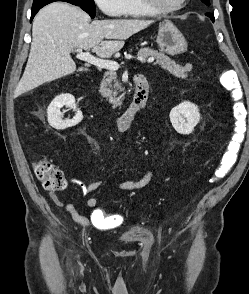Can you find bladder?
I'll return each mask as SVG.
<instances>
[{
    "instance_id": "31cf9c89",
    "label": "bladder",
    "mask_w": 249,
    "mask_h": 294,
    "mask_svg": "<svg viewBox=\"0 0 249 294\" xmlns=\"http://www.w3.org/2000/svg\"><path fill=\"white\" fill-rule=\"evenodd\" d=\"M150 239V232L140 227H134L128 230L122 237L121 242L124 244L141 243Z\"/></svg>"
}]
</instances>
